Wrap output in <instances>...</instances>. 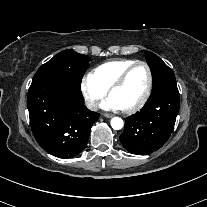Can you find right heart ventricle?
Masks as SVG:
<instances>
[{
    "label": "right heart ventricle",
    "mask_w": 207,
    "mask_h": 207,
    "mask_svg": "<svg viewBox=\"0 0 207 207\" xmlns=\"http://www.w3.org/2000/svg\"><path fill=\"white\" fill-rule=\"evenodd\" d=\"M133 62L135 61L131 59L108 60L95 67L91 71L90 76L96 83H98L101 87L108 91L114 83V81Z\"/></svg>",
    "instance_id": "1"
}]
</instances>
